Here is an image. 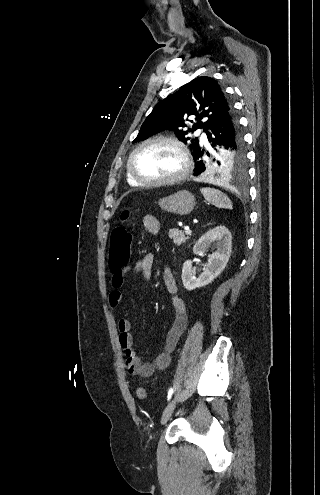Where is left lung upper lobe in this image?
Masks as SVG:
<instances>
[{
  "instance_id": "5c2ea615",
  "label": "left lung upper lobe",
  "mask_w": 320,
  "mask_h": 495,
  "mask_svg": "<svg viewBox=\"0 0 320 495\" xmlns=\"http://www.w3.org/2000/svg\"><path fill=\"white\" fill-rule=\"evenodd\" d=\"M231 108V103L213 78L197 77L154 107L133 143L145 140L164 129L174 130L176 136L186 143L190 138H186L185 135L199 128L207 134L214 122ZM190 116L194 117V122L190 121L193 123L192 128L180 130V127H187L184 118ZM190 141L194 155L202 146L197 138ZM204 153L209 157L203 162L211 176L223 178L246 171L245 151L239 127L234 146H216L214 151L204 150Z\"/></svg>"
}]
</instances>
